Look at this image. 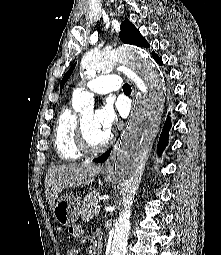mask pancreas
Instances as JSON below:
<instances>
[{"label": "pancreas", "instance_id": "obj_1", "mask_svg": "<svg viewBox=\"0 0 221 255\" xmlns=\"http://www.w3.org/2000/svg\"><path fill=\"white\" fill-rule=\"evenodd\" d=\"M100 196L98 191H91L82 201L81 217L84 221H88L94 215V208Z\"/></svg>", "mask_w": 221, "mask_h": 255}]
</instances>
